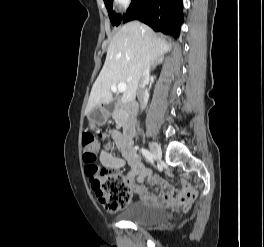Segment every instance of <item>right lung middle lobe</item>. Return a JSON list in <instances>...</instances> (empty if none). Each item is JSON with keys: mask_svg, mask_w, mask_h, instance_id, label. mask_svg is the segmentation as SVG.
Listing matches in <instances>:
<instances>
[{"mask_svg": "<svg viewBox=\"0 0 264 247\" xmlns=\"http://www.w3.org/2000/svg\"><path fill=\"white\" fill-rule=\"evenodd\" d=\"M104 3H105V6L108 10V14H109L112 25H119L122 18L120 17V15H115L113 13V11H112V0H104Z\"/></svg>", "mask_w": 264, "mask_h": 247, "instance_id": "dd1d6c3e", "label": "right lung middle lobe"}]
</instances>
